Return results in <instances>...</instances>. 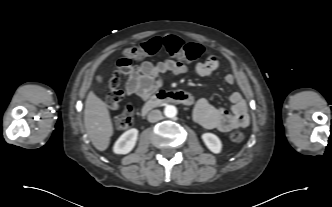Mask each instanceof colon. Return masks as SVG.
Listing matches in <instances>:
<instances>
[{"mask_svg": "<svg viewBox=\"0 0 332 207\" xmlns=\"http://www.w3.org/2000/svg\"><path fill=\"white\" fill-rule=\"evenodd\" d=\"M164 48L170 55L187 62L196 61L202 54V47L198 43L185 42L178 36L169 35L165 37H154L150 40L127 49L118 60V69L114 71L112 77L107 82V102L113 109L119 108V103L123 98L121 89V78L129 70L131 62L134 59H141L151 56ZM133 115L130 108H127L120 114L115 122L114 127L118 131L128 129L132 125ZM233 142H241L244 135L241 132H233L230 135Z\"/></svg>", "mask_w": 332, "mask_h": 207, "instance_id": "1", "label": "colon"}]
</instances>
